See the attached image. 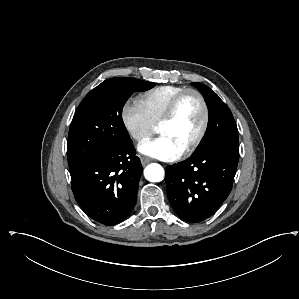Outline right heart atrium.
Listing matches in <instances>:
<instances>
[{"label":"right heart atrium","instance_id":"right-heart-atrium-1","mask_svg":"<svg viewBox=\"0 0 299 299\" xmlns=\"http://www.w3.org/2000/svg\"><path fill=\"white\" fill-rule=\"evenodd\" d=\"M121 119L126 132L136 143L145 141L155 129L138 102L127 101L122 107Z\"/></svg>","mask_w":299,"mask_h":299}]
</instances>
